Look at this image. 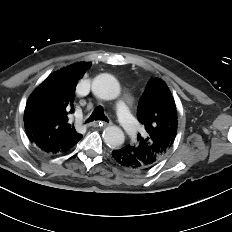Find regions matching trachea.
<instances>
[{
	"instance_id": "3493384b",
	"label": "trachea",
	"mask_w": 232,
	"mask_h": 232,
	"mask_svg": "<svg viewBox=\"0 0 232 232\" xmlns=\"http://www.w3.org/2000/svg\"><path fill=\"white\" fill-rule=\"evenodd\" d=\"M94 120H102L105 122H108V118L105 116L103 108L102 107H97L92 114L90 115V117L86 120V123H90Z\"/></svg>"
}]
</instances>
